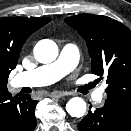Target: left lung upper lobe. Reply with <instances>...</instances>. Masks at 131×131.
Listing matches in <instances>:
<instances>
[{"label": "left lung upper lobe", "instance_id": "5c2ea615", "mask_svg": "<svg viewBox=\"0 0 131 131\" xmlns=\"http://www.w3.org/2000/svg\"><path fill=\"white\" fill-rule=\"evenodd\" d=\"M86 41L93 74L107 76V101L131 110V30L107 16L65 19Z\"/></svg>", "mask_w": 131, "mask_h": 131}]
</instances>
